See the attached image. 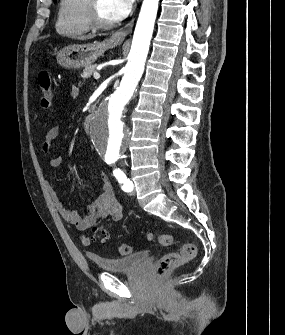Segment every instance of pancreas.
Here are the masks:
<instances>
[{"mask_svg": "<svg viewBox=\"0 0 285 335\" xmlns=\"http://www.w3.org/2000/svg\"><path fill=\"white\" fill-rule=\"evenodd\" d=\"M98 64H90V66H85V70H83L81 76L83 81H90L91 76L90 74H93V72H96Z\"/></svg>", "mask_w": 285, "mask_h": 335, "instance_id": "cf45deb5", "label": "pancreas"}]
</instances>
